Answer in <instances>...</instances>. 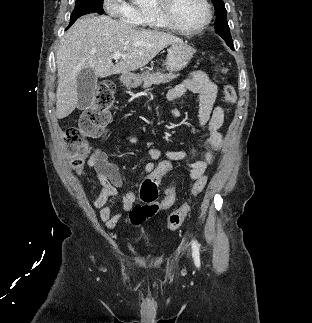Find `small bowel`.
<instances>
[{
    "label": "small bowel",
    "instance_id": "small-bowel-1",
    "mask_svg": "<svg viewBox=\"0 0 312 323\" xmlns=\"http://www.w3.org/2000/svg\"><path fill=\"white\" fill-rule=\"evenodd\" d=\"M186 91L196 93L200 97L199 108V127L206 129L205 149L202 158L189 166V176L196 181L201 178L208 166L214 160L215 154L219 152L223 145V135L220 129L224 122V110L216 104L217 86L210 80L208 75L202 70H194L189 77L181 83L173 86L167 93V99L170 102H176L181 99ZM168 114L174 118H180V111L176 108H170ZM133 143L138 142V137L130 138ZM166 158L171 162L184 160L188 152L185 150H167ZM147 156L154 161L155 158H161L162 151L159 148L151 147L147 150ZM87 164L92 168L101 184V191L94 199L93 206L99 210V217L105 223L108 229H114L128 215V221L133 226H138L150 219L153 215L140 216V208L134 207L137 200V194L134 190L122 191L123 178L118 167L109 162L107 155L102 150L95 151L88 159ZM150 167H156L154 162H148L144 166L145 172L150 174ZM110 197H118L121 201V211L112 215V205L108 203ZM162 209V206H159ZM165 211V210H163Z\"/></svg>",
    "mask_w": 312,
    "mask_h": 323
}]
</instances>
